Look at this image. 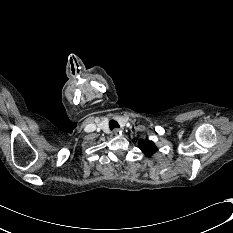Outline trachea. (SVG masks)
I'll return each mask as SVG.
<instances>
[{
	"mask_svg": "<svg viewBox=\"0 0 233 233\" xmlns=\"http://www.w3.org/2000/svg\"><path fill=\"white\" fill-rule=\"evenodd\" d=\"M109 127L111 130L115 129V128H119V124L115 121V120H110L109 121Z\"/></svg>",
	"mask_w": 233,
	"mask_h": 233,
	"instance_id": "1",
	"label": "trachea"
}]
</instances>
